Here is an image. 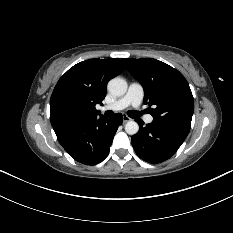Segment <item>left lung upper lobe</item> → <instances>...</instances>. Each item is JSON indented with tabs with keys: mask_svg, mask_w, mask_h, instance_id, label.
<instances>
[{
	"mask_svg": "<svg viewBox=\"0 0 233 233\" xmlns=\"http://www.w3.org/2000/svg\"><path fill=\"white\" fill-rule=\"evenodd\" d=\"M127 70L144 88V103L155 120L190 130L194 100L184 76L156 59H122Z\"/></svg>",
	"mask_w": 233,
	"mask_h": 233,
	"instance_id": "5c2ea615",
	"label": "left lung upper lobe"
}]
</instances>
